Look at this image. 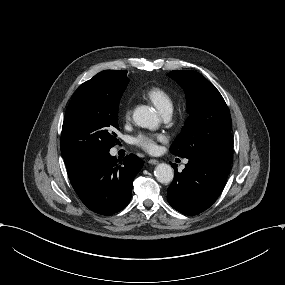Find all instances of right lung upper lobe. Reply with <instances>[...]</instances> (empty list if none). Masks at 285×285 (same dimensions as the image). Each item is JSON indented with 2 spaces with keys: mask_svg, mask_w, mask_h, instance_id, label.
Instances as JSON below:
<instances>
[{
  "mask_svg": "<svg viewBox=\"0 0 285 285\" xmlns=\"http://www.w3.org/2000/svg\"><path fill=\"white\" fill-rule=\"evenodd\" d=\"M127 74V71H112L105 70L97 75H95L91 80L87 83L90 84H98V85H108L114 81H119L121 77H124ZM66 167L69 168L73 162H65Z\"/></svg>",
  "mask_w": 285,
  "mask_h": 285,
  "instance_id": "right-lung-upper-lobe-1",
  "label": "right lung upper lobe"
}]
</instances>
